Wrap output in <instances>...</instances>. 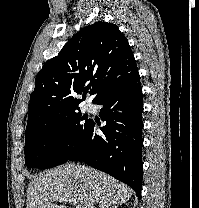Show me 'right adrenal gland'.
I'll return each instance as SVG.
<instances>
[{
  "instance_id": "right-adrenal-gland-1",
  "label": "right adrenal gland",
  "mask_w": 199,
  "mask_h": 208,
  "mask_svg": "<svg viewBox=\"0 0 199 208\" xmlns=\"http://www.w3.org/2000/svg\"><path fill=\"white\" fill-rule=\"evenodd\" d=\"M111 208H118V205L112 206Z\"/></svg>"
}]
</instances>
